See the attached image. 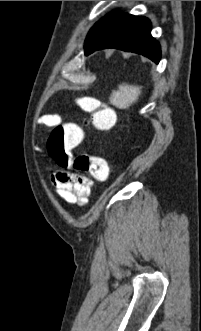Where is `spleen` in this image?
<instances>
[{"label":"spleen","mask_w":201,"mask_h":331,"mask_svg":"<svg viewBox=\"0 0 201 331\" xmlns=\"http://www.w3.org/2000/svg\"><path fill=\"white\" fill-rule=\"evenodd\" d=\"M140 94L141 87L121 84L117 91L112 92L110 102L119 109H126L138 100Z\"/></svg>","instance_id":"3e777b00"}]
</instances>
